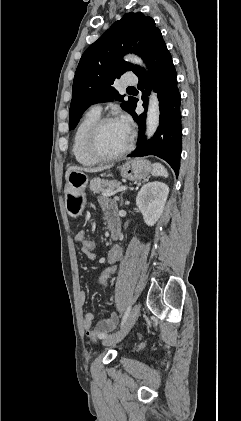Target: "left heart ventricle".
<instances>
[{"mask_svg": "<svg viewBox=\"0 0 241 421\" xmlns=\"http://www.w3.org/2000/svg\"><path fill=\"white\" fill-rule=\"evenodd\" d=\"M129 132L118 122H110L103 126L98 137V146L106 154L122 150L127 144Z\"/></svg>", "mask_w": 241, "mask_h": 421, "instance_id": "obj_1", "label": "left heart ventricle"}]
</instances>
